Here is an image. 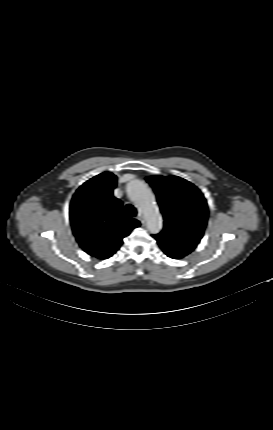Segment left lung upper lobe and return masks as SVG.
<instances>
[{
    "label": "left lung upper lobe",
    "instance_id": "left-lung-upper-lobe-1",
    "mask_svg": "<svg viewBox=\"0 0 273 430\" xmlns=\"http://www.w3.org/2000/svg\"><path fill=\"white\" fill-rule=\"evenodd\" d=\"M164 217L163 230L153 237L170 258H183L200 242L208 219L207 202L192 183L176 176H149Z\"/></svg>",
    "mask_w": 273,
    "mask_h": 430
}]
</instances>
